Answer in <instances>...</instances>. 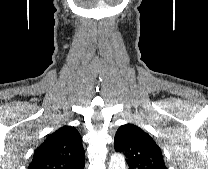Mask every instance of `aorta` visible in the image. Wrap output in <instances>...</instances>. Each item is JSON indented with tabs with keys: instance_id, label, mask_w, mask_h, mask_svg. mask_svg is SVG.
I'll return each mask as SVG.
<instances>
[{
	"instance_id": "1",
	"label": "aorta",
	"mask_w": 208,
	"mask_h": 169,
	"mask_svg": "<svg viewBox=\"0 0 208 169\" xmlns=\"http://www.w3.org/2000/svg\"><path fill=\"white\" fill-rule=\"evenodd\" d=\"M125 159L122 154H113L110 159L109 169H125Z\"/></svg>"
}]
</instances>
